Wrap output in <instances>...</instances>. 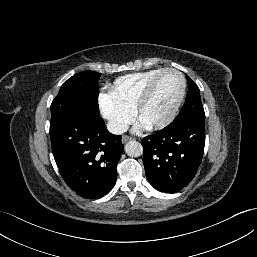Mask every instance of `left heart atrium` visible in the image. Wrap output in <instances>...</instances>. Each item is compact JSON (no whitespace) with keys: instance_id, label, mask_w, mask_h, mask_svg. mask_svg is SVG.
I'll list each match as a JSON object with an SVG mask.
<instances>
[{"instance_id":"1","label":"left heart atrium","mask_w":257,"mask_h":257,"mask_svg":"<svg viewBox=\"0 0 257 257\" xmlns=\"http://www.w3.org/2000/svg\"><path fill=\"white\" fill-rule=\"evenodd\" d=\"M146 125L142 122V121H139L136 126H135V131H139L141 129H143Z\"/></svg>"}]
</instances>
